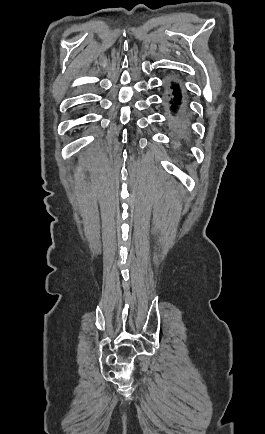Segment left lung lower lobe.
Instances as JSON below:
<instances>
[{
	"label": "left lung lower lobe",
	"instance_id": "left-lung-lower-lobe-1",
	"mask_svg": "<svg viewBox=\"0 0 265 434\" xmlns=\"http://www.w3.org/2000/svg\"><path fill=\"white\" fill-rule=\"evenodd\" d=\"M172 94H169L172 119L168 123V129L172 140L176 144H186L192 137V129L188 112L183 106L182 95L178 84H172Z\"/></svg>",
	"mask_w": 265,
	"mask_h": 434
}]
</instances>
